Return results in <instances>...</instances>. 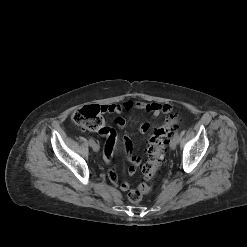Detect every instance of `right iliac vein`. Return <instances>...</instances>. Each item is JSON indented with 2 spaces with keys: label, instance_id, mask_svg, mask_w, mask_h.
Masks as SVG:
<instances>
[{
  "label": "right iliac vein",
  "instance_id": "63e3f726",
  "mask_svg": "<svg viewBox=\"0 0 247 247\" xmlns=\"http://www.w3.org/2000/svg\"><path fill=\"white\" fill-rule=\"evenodd\" d=\"M91 147L95 152H98L100 149L99 145L96 142L92 143Z\"/></svg>",
  "mask_w": 247,
  "mask_h": 247
}]
</instances>
